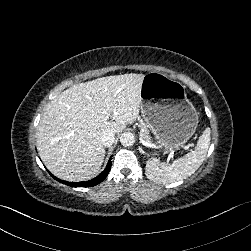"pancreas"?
Instances as JSON below:
<instances>
[{
    "label": "pancreas",
    "mask_w": 251,
    "mask_h": 251,
    "mask_svg": "<svg viewBox=\"0 0 251 251\" xmlns=\"http://www.w3.org/2000/svg\"><path fill=\"white\" fill-rule=\"evenodd\" d=\"M139 127H140L139 134H141L145 140L151 142L153 140V138L150 135V130H149L148 126L144 122L140 121Z\"/></svg>",
    "instance_id": "cf45deb5"
}]
</instances>
